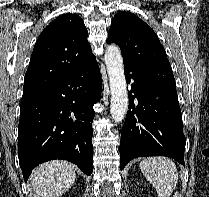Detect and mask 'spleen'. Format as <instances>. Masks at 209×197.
Masks as SVG:
<instances>
[{"instance_id":"1","label":"spleen","mask_w":209,"mask_h":197,"mask_svg":"<svg viewBox=\"0 0 209 197\" xmlns=\"http://www.w3.org/2000/svg\"><path fill=\"white\" fill-rule=\"evenodd\" d=\"M146 179L156 189L158 197H170L178 183L175 163L166 157H150L140 163Z\"/></svg>"}]
</instances>
